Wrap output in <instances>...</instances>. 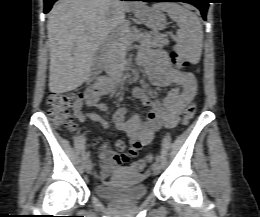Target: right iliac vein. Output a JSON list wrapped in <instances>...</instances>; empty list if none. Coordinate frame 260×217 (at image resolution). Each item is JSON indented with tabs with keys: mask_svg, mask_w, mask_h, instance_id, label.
Here are the masks:
<instances>
[{
	"mask_svg": "<svg viewBox=\"0 0 260 217\" xmlns=\"http://www.w3.org/2000/svg\"><path fill=\"white\" fill-rule=\"evenodd\" d=\"M92 162L90 160H88L86 163H85V170L87 173H91L92 171Z\"/></svg>",
	"mask_w": 260,
	"mask_h": 217,
	"instance_id": "1",
	"label": "right iliac vein"
}]
</instances>
